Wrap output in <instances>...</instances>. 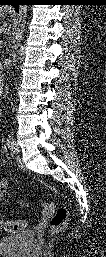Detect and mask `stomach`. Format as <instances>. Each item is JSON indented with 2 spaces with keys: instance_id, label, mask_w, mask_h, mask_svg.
<instances>
[{
  "instance_id": "stomach-1",
  "label": "stomach",
  "mask_w": 106,
  "mask_h": 257,
  "mask_svg": "<svg viewBox=\"0 0 106 257\" xmlns=\"http://www.w3.org/2000/svg\"><path fill=\"white\" fill-rule=\"evenodd\" d=\"M5 15H6V13H5V12L1 13V16H2V17H4Z\"/></svg>"
}]
</instances>
